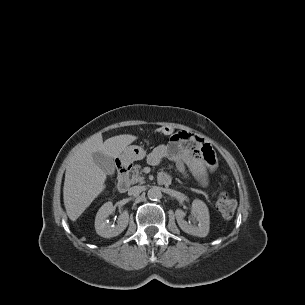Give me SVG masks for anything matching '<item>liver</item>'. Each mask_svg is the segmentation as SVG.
I'll use <instances>...</instances> for the list:
<instances>
[{"instance_id": "1", "label": "liver", "mask_w": 305, "mask_h": 305, "mask_svg": "<svg viewBox=\"0 0 305 305\" xmlns=\"http://www.w3.org/2000/svg\"><path fill=\"white\" fill-rule=\"evenodd\" d=\"M138 137L130 134L113 136L103 142L97 133L80 145L70 158L65 172L63 199L70 220L76 221L106 187V173L93 160L101 152L111 158L119 157Z\"/></svg>"}]
</instances>
